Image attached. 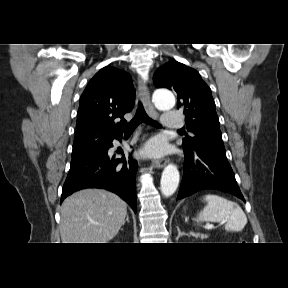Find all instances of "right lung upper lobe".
Masks as SVG:
<instances>
[{
	"label": "right lung upper lobe",
	"instance_id": "cb5924a9",
	"mask_svg": "<svg viewBox=\"0 0 288 288\" xmlns=\"http://www.w3.org/2000/svg\"><path fill=\"white\" fill-rule=\"evenodd\" d=\"M134 96L127 72L111 66L98 71L80 99L73 151H93L120 136L119 126L126 123L123 116L133 108ZM116 118L121 121L116 123Z\"/></svg>",
	"mask_w": 288,
	"mask_h": 288
}]
</instances>
